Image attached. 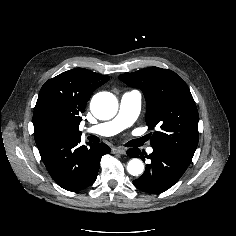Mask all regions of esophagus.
<instances>
[{"instance_id":"1","label":"esophagus","mask_w":236,"mask_h":236,"mask_svg":"<svg viewBox=\"0 0 236 236\" xmlns=\"http://www.w3.org/2000/svg\"><path fill=\"white\" fill-rule=\"evenodd\" d=\"M112 153L113 154H126V148H124V147H113L112 148Z\"/></svg>"}]
</instances>
